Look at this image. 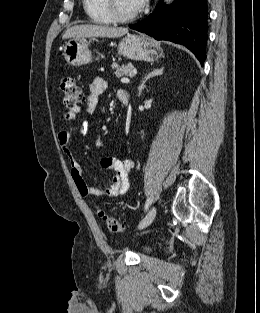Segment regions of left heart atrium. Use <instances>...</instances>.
<instances>
[{"mask_svg":"<svg viewBox=\"0 0 260 313\" xmlns=\"http://www.w3.org/2000/svg\"><path fill=\"white\" fill-rule=\"evenodd\" d=\"M146 2L147 0H135L136 9L137 10L142 9L145 6Z\"/></svg>","mask_w":260,"mask_h":313,"instance_id":"39dd6f15","label":"left heart atrium"}]
</instances>
